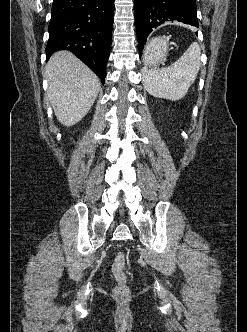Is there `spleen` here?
<instances>
[{"instance_id":"spleen-1","label":"spleen","mask_w":247,"mask_h":332,"mask_svg":"<svg viewBox=\"0 0 247 332\" xmlns=\"http://www.w3.org/2000/svg\"><path fill=\"white\" fill-rule=\"evenodd\" d=\"M198 43H192L183 55L168 67L144 70L145 89L157 98L171 101L182 99L194 83L201 66Z\"/></svg>"}]
</instances>
